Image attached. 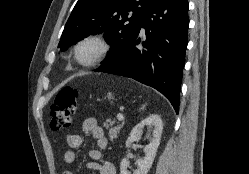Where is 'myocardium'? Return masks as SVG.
Instances as JSON below:
<instances>
[{
	"mask_svg": "<svg viewBox=\"0 0 249 174\" xmlns=\"http://www.w3.org/2000/svg\"><path fill=\"white\" fill-rule=\"evenodd\" d=\"M86 43H95L99 47V52L97 55L89 60H83L79 55L80 48ZM110 51L111 43L103 34L91 33L77 41L74 47V57L76 61L82 66L91 67L104 61L109 55Z\"/></svg>",
	"mask_w": 249,
	"mask_h": 174,
	"instance_id": "1",
	"label": "myocardium"
}]
</instances>
